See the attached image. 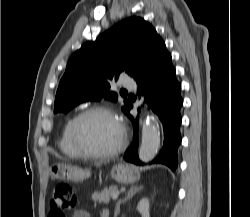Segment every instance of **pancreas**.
I'll return each instance as SVG.
<instances>
[{"instance_id": "obj_1", "label": "pancreas", "mask_w": 250, "mask_h": 217, "mask_svg": "<svg viewBox=\"0 0 250 217\" xmlns=\"http://www.w3.org/2000/svg\"><path fill=\"white\" fill-rule=\"evenodd\" d=\"M119 193L117 186H111L109 188L103 189L100 192L94 193L92 195V200L96 203H104L107 204L110 201V198L113 194Z\"/></svg>"}]
</instances>
